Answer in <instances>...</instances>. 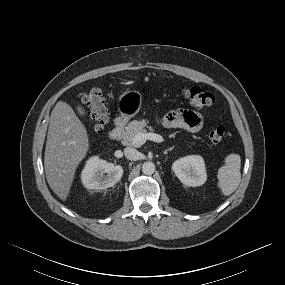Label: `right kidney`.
Returning <instances> with one entry per match:
<instances>
[{"mask_svg": "<svg viewBox=\"0 0 285 285\" xmlns=\"http://www.w3.org/2000/svg\"><path fill=\"white\" fill-rule=\"evenodd\" d=\"M122 175L123 168L120 165L93 156L87 160L81 173V180L87 189L103 190L114 186Z\"/></svg>", "mask_w": 285, "mask_h": 285, "instance_id": "right-kidney-1", "label": "right kidney"}]
</instances>
